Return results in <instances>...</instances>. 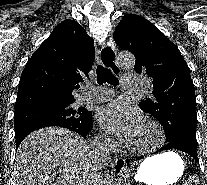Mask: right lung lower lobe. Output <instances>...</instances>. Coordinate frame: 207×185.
Returning a JSON list of instances; mask_svg holds the SVG:
<instances>
[{
	"label": "right lung lower lobe",
	"instance_id": "98d812e1",
	"mask_svg": "<svg viewBox=\"0 0 207 185\" xmlns=\"http://www.w3.org/2000/svg\"><path fill=\"white\" fill-rule=\"evenodd\" d=\"M55 126H59V125H55ZM60 127H63V126H60ZM92 127H93V123L91 121V122H89L87 124H84V125H80V126H76V127L71 126V127H65V128L73 130L76 133L80 134L82 137H85L92 130ZM32 131H34V130L26 131V132H23V133L15 136V138H16V149L18 148L20 143L23 141V139L28 134H30Z\"/></svg>",
	"mask_w": 207,
	"mask_h": 185
}]
</instances>
